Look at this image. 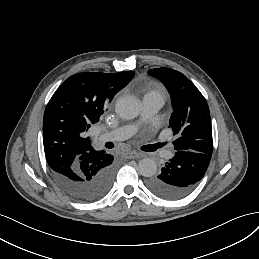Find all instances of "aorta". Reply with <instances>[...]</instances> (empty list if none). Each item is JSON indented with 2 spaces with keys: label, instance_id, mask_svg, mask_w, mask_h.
I'll use <instances>...</instances> for the list:
<instances>
[{
  "label": "aorta",
  "instance_id": "aorta-1",
  "mask_svg": "<svg viewBox=\"0 0 259 259\" xmlns=\"http://www.w3.org/2000/svg\"><path fill=\"white\" fill-rule=\"evenodd\" d=\"M115 111L122 119H133L140 113V102L133 96L119 98L115 104ZM157 172V164L151 158H144L138 164V173L144 177H152Z\"/></svg>",
  "mask_w": 259,
  "mask_h": 259
}]
</instances>
